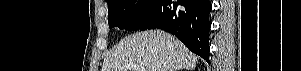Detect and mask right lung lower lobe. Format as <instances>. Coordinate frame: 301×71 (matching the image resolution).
Masks as SVG:
<instances>
[{
	"label": "right lung lower lobe",
	"mask_w": 301,
	"mask_h": 71,
	"mask_svg": "<svg viewBox=\"0 0 301 71\" xmlns=\"http://www.w3.org/2000/svg\"><path fill=\"white\" fill-rule=\"evenodd\" d=\"M211 8L208 0H157L142 30L161 28L172 33L209 63Z\"/></svg>",
	"instance_id": "right-lung-lower-lobe-1"
}]
</instances>
